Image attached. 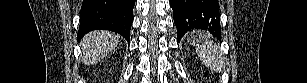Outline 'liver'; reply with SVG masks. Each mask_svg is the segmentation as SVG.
<instances>
[{"label": "liver", "mask_w": 307, "mask_h": 83, "mask_svg": "<svg viewBox=\"0 0 307 83\" xmlns=\"http://www.w3.org/2000/svg\"><path fill=\"white\" fill-rule=\"evenodd\" d=\"M120 42L118 34L106 31L91 32L81 41L83 59L87 65L98 63Z\"/></svg>", "instance_id": "liver-1"}]
</instances>
